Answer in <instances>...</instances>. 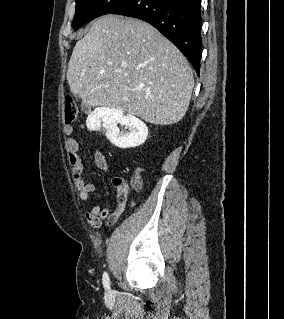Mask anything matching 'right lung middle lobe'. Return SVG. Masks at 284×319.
<instances>
[{
	"label": "right lung middle lobe",
	"mask_w": 284,
	"mask_h": 319,
	"mask_svg": "<svg viewBox=\"0 0 284 319\" xmlns=\"http://www.w3.org/2000/svg\"><path fill=\"white\" fill-rule=\"evenodd\" d=\"M128 1L130 0H75L73 27L78 29L98 16L111 13Z\"/></svg>",
	"instance_id": "obj_1"
}]
</instances>
